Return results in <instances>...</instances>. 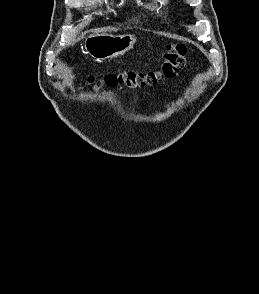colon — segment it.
Here are the masks:
<instances>
[{"mask_svg": "<svg viewBox=\"0 0 259 294\" xmlns=\"http://www.w3.org/2000/svg\"><path fill=\"white\" fill-rule=\"evenodd\" d=\"M186 47L184 44H171L167 47L161 66L156 71L147 73L123 72L119 74H106L100 78V75L89 77L88 83L94 88H98L104 83L110 87L125 84L130 87H144L154 85L161 78H171L181 70L185 63Z\"/></svg>", "mask_w": 259, "mask_h": 294, "instance_id": "1", "label": "colon"}]
</instances>
